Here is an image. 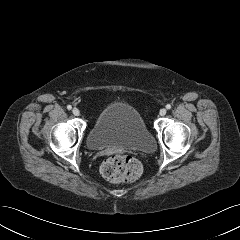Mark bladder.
Segmentation results:
<instances>
[{"instance_id": "1", "label": "bladder", "mask_w": 240, "mask_h": 240, "mask_svg": "<svg viewBox=\"0 0 240 240\" xmlns=\"http://www.w3.org/2000/svg\"><path fill=\"white\" fill-rule=\"evenodd\" d=\"M87 145L91 150L117 148L151 152L155 141L133 106L114 102L97 116L88 133Z\"/></svg>"}]
</instances>
